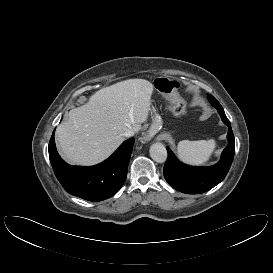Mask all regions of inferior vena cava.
Listing matches in <instances>:
<instances>
[{
	"label": "inferior vena cava",
	"mask_w": 273,
	"mask_h": 273,
	"mask_svg": "<svg viewBox=\"0 0 273 273\" xmlns=\"http://www.w3.org/2000/svg\"><path fill=\"white\" fill-rule=\"evenodd\" d=\"M135 131L133 129H128L125 131V133L123 134L125 137H132L134 136Z\"/></svg>",
	"instance_id": "602c4592"
}]
</instances>
